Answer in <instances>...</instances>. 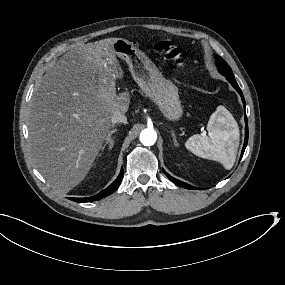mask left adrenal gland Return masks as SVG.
Listing matches in <instances>:
<instances>
[{
    "mask_svg": "<svg viewBox=\"0 0 285 285\" xmlns=\"http://www.w3.org/2000/svg\"><path fill=\"white\" fill-rule=\"evenodd\" d=\"M172 137H173L175 146H178L177 141H176V136L173 131H172Z\"/></svg>",
    "mask_w": 285,
    "mask_h": 285,
    "instance_id": "left-adrenal-gland-1",
    "label": "left adrenal gland"
}]
</instances>
